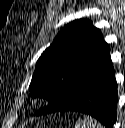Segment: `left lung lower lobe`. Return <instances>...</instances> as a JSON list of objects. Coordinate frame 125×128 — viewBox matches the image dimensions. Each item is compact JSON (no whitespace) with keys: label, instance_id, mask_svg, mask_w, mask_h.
Segmentation results:
<instances>
[{"label":"left lung lower lobe","instance_id":"0a47b994","mask_svg":"<svg viewBox=\"0 0 125 128\" xmlns=\"http://www.w3.org/2000/svg\"><path fill=\"white\" fill-rule=\"evenodd\" d=\"M117 98L115 71L108 52L84 75L69 103L57 111L85 113L95 117L106 128H113L117 119Z\"/></svg>","mask_w":125,"mask_h":128}]
</instances>
